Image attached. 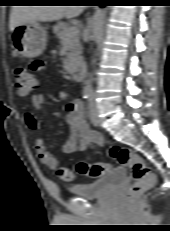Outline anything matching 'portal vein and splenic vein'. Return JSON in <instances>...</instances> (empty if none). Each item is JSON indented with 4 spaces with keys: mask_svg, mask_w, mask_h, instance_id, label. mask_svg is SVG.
I'll list each match as a JSON object with an SVG mask.
<instances>
[{
    "mask_svg": "<svg viewBox=\"0 0 170 231\" xmlns=\"http://www.w3.org/2000/svg\"><path fill=\"white\" fill-rule=\"evenodd\" d=\"M76 34H78V28L76 26H72L66 31L65 38L68 39L70 36H74Z\"/></svg>",
    "mask_w": 170,
    "mask_h": 231,
    "instance_id": "portal-vein-and-splenic-vein-1",
    "label": "portal vein and splenic vein"
}]
</instances>
